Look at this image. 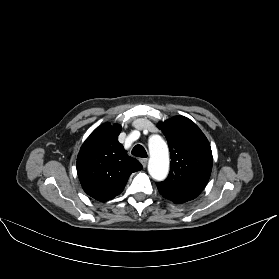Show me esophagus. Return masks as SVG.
Instances as JSON below:
<instances>
[{
	"label": "esophagus",
	"instance_id": "34e87169",
	"mask_svg": "<svg viewBox=\"0 0 279 279\" xmlns=\"http://www.w3.org/2000/svg\"><path fill=\"white\" fill-rule=\"evenodd\" d=\"M140 162L142 163L143 167L145 168L147 166L148 159L147 158H142V159H140Z\"/></svg>",
	"mask_w": 279,
	"mask_h": 279
}]
</instances>
